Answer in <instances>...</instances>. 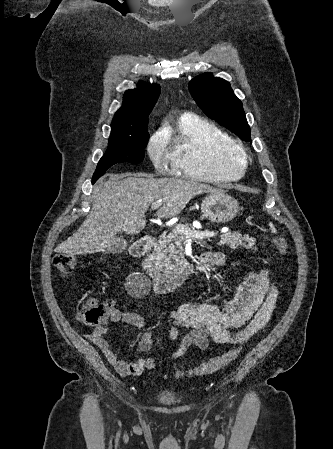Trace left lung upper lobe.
I'll return each mask as SVG.
<instances>
[{"label":"left lung upper lobe","mask_w":333,"mask_h":449,"mask_svg":"<svg viewBox=\"0 0 333 449\" xmlns=\"http://www.w3.org/2000/svg\"><path fill=\"white\" fill-rule=\"evenodd\" d=\"M189 90L208 117L234 131L241 139L251 141L242 103L227 81L213 77L212 73H204L190 81Z\"/></svg>","instance_id":"5c2ea615"}]
</instances>
